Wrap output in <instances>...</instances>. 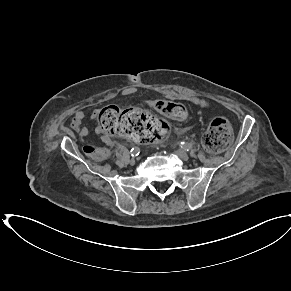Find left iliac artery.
I'll list each match as a JSON object with an SVG mask.
<instances>
[{"label":"left iliac artery","instance_id":"44dca946","mask_svg":"<svg viewBox=\"0 0 291 291\" xmlns=\"http://www.w3.org/2000/svg\"><path fill=\"white\" fill-rule=\"evenodd\" d=\"M180 146L182 149L187 150V151L191 148V145L186 142H181Z\"/></svg>","mask_w":291,"mask_h":291}]
</instances>
